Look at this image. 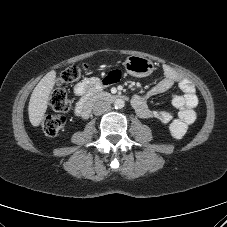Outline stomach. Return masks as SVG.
<instances>
[{"label":"stomach","instance_id":"obj_1","mask_svg":"<svg viewBox=\"0 0 227 227\" xmlns=\"http://www.w3.org/2000/svg\"><path fill=\"white\" fill-rule=\"evenodd\" d=\"M124 66L128 74L139 78L149 76L154 70L150 59L138 55L127 57Z\"/></svg>","mask_w":227,"mask_h":227}]
</instances>
